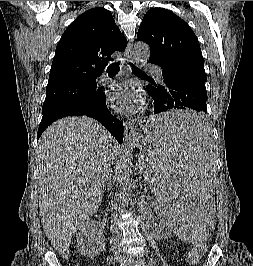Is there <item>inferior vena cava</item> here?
<instances>
[{
	"label": "inferior vena cava",
	"instance_id": "obj_1",
	"mask_svg": "<svg viewBox=\"0 0 253 266\" xmlns=\"http://www.w3.org/2000/svg\"><path fill=\"white\" fill-rule=\"evenodd\" d=\"M108 182H109V173L106 175V180H105V186H108ZM113 237H114V241H113V251L115 254V257L118 261H123L127 258L126 253L121 249V245L119 242L120 239V234L117 231V229L113 230Z\"/></svg>",
	"mask_w": 253,
	"mask_h": 266
}]
</instances>
